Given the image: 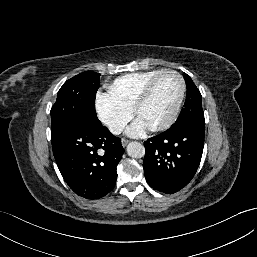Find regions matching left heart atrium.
<instances>
[{
    "mask_svg": "<svg viewBox=\"0 0 257 257\" xmlns=\"http://www.w3.org/2000/svg\"><path fill=\"white\" fill-rule=\"evenodd\" d=\"M147 124L140 118H137L127 129V135L130 137L143 136L148 130Z\"/></svg>",
    "mask_w": 257,
    "mask_h": 257,
    "instance_id": "1",
    "label": "left heart atrium"
}]
</instances>
